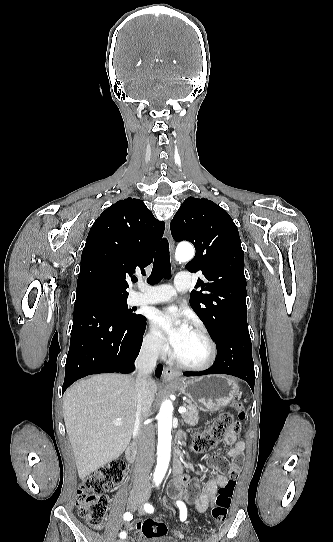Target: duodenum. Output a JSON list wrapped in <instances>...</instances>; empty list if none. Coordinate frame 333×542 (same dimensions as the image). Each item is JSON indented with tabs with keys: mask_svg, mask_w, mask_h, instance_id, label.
I'll return each mask as SVG.
<instances>
[{
	"mask_svg": "<svg viewBox=\"0 0 333 542\" xmlns=\"http://www.w3.org/2000/svg\"><path fill=\"white\" fill-rule=\"evenodd\" d=\"M178 440H181V437L178 438ZM137 456V444L132 443L128 446L126 450V458L130 463H133ZM172 471L175 476L179 475L182 471V464L179 456V452L176 451L173 464H172Z\"/></svg>",
	"mask_w": 333,
	"mask_h": 542,
	"instance_id": "410a0bca",
	"label": "duodenum"
}]
</instances>
